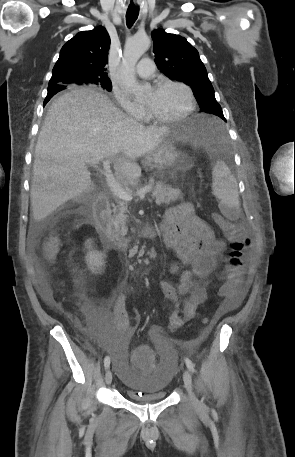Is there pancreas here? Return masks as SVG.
I'll return each mask as SVG.
<instances>
[{"label": "pancreas", "mask_w": 295, "mask_h": 457, "mask_svg": "<svg viewBox=\"0 0 295 457\" xmlns=\"http://www.w3.org/2000/svg\"><path fill=\"white\" fill-rule=\"evenodd\" d=\"M147 185L152 187V197L156 199L157 204H169L181 195L180 189L172 188L164 182L149 181ZM118 204L117 206L113 205L114 215L111 222L116 231L125 234L128 230L126 226L128 216L125 214L128 212V204L125 201H119Z\"/></svg>", "instance_id": "cf45deb5"}]
</instances>
